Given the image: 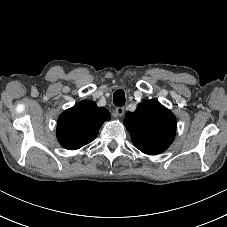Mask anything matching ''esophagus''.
<instances>
[{"instance_id":"34e87169","label":"esophagus","mask_w":227,"mask_h":227,"mask_svg":"<svg viewBox=\"0 0 227 227\" xmlns=\"http://www.w3.org/2000/svg\"><path fill=\"white\" fill-rule=\"evenodd\" d=\"M115 112L117 116L121 117L124 115L125 109L124 107H116Z\"/></svg>"}]
</instances>
